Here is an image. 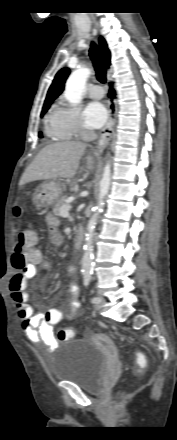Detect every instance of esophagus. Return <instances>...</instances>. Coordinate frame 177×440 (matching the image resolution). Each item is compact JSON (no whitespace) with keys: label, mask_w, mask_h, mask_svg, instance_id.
<instances>
[{"label":"esophagus","mask_w":177,"mask_h":440,"mask_svg":"<svg viewBox=\"0 0 177 440\" xmlns=\"http://www.w3.org/2000/svg\"><path fill=\"white\" fill-rule=\"evenodd\" d=\"M109 119L105 127L102 129L100 138L97 141V148L101 150L108 144L114 133L116 124V103L115 100H110L108 104Z\"/></svg>","instance_id":"obj_1"}]
</instances>
